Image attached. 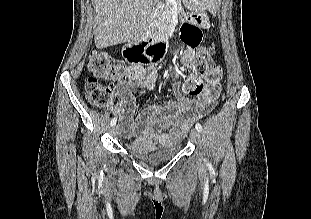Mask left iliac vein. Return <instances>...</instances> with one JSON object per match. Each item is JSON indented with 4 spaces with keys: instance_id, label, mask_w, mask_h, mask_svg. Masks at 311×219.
<instances>
[{
    "instance_id": "1",
    "label": "left iliac vein",
    "mask_w": 311,
    "mask_h": 219,
    "mask_svg": "<svg viewBox=\"0 0 311 219\" xmlns=\"http://www.w3.org/2000/svg\"><path fill=\"white\" fill-rule=\"evenodd\" d=\"M190 138L194 143H199L200 141V133L197 129H192L190 131Z\"/></svg>"
}]
</instances>
